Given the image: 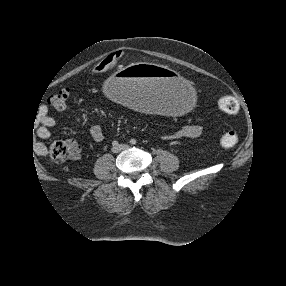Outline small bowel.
<instances>
[{
    "label": "small bowel",
    "instance_id": "obj_1",
    "mask_svg": "<svg viewBox=\"0 0 286 286\" xmlns=\"http://www.w3.org/2000/svg\"><path fill=\"white\" fill-rule=\"evenodd\" d=\"M41 125L37 130V135L42 140H47L51 137V128L55 125V119L48 113L47 110L40 112ZM202 133V127L198 124L188 123L182 125L175 132L166 135L167 139L178 140L183 138H196ZM90 135L96 142H102L105 139L103 128L99 124H95L90 129ZM68 146L71 155L74 159H78L80 156V145L75 139H67L65 141ZM35 150L40 155H45L47 147L44 143L38 142L35 145Z\"/></svg>",
    "mask_w": 286,
    "mask_h": 286
}]
</instances>
